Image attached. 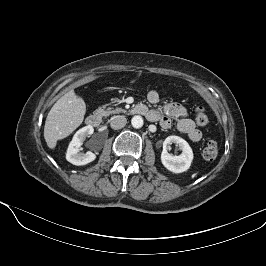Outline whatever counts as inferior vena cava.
Returning <instances> with one entry per match:
<instances>
[{
	"instance_id": "inferior-vena-cava-1",
	"label": "inferior vena cava",
	"mask_w": 266,
	"mask_h": 266,
	"mask_svg": "<svg viewBox=\"0 0 266 266\" xmlns=\"http://www.w3.org/2000/svg\"><path fill=\"white\" fill-rule=\"evenodd\" d=\"M126 123H127V120H126L125 117L116 116L111 121V128L115 129V130L121 129V128H123L126 125Z\"/></svg>"
}]
</instances>
